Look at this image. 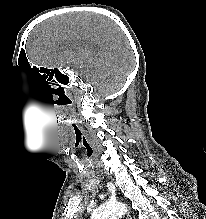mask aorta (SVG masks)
<instances>
[{
    "instance_id": "aorta-1",
    "label": "aorta",
    "mask_w": 206,
    "mask_h": 219,
    "mask_svg": "<svg viewBox=\"0 0 206 219\" xmlns=\"http://www.w3.org/2000/svg\"><path fill=\"white\" fill-rule=\"evenodd\" d=\"M126 211L121 203H107L93 211L91 219H119Z\"/></svg>"
}]
</instances>
